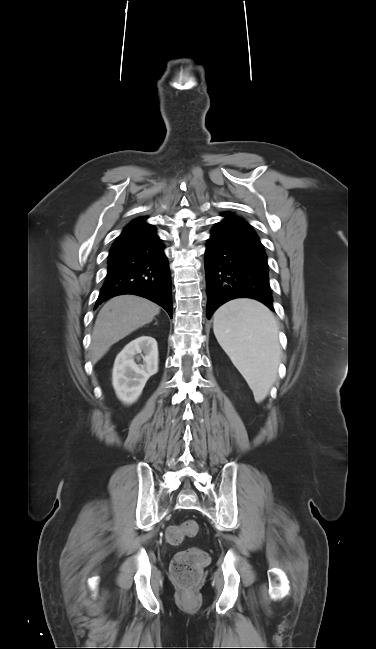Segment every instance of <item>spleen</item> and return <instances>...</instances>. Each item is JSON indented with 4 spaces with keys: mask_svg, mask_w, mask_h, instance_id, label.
Returning a JSON list of instances; mask_svg holds the SVG:
<instances>
[{
    "mask_svg": "<svg viewBox=\"0 0 376 649\" xmlns=\"http://www.w3.org/2000/svg\"><path fill=\"white\" fill-rule=\"evenodd\" d=\"M215 337L247 381L257 403L277 377L278 325L273 313L254 299H235L214 314Z\"/></svg>",
    "mask_w": 376,
    "mask_h": 649,
    "instance_id": "spleen-1",
    "label": "spleen"
}]
</instances>
